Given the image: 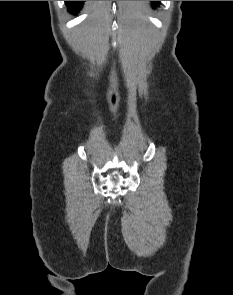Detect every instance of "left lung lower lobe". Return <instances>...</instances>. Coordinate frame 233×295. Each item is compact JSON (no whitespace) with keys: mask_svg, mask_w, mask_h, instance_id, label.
Returning <instances> with one entry per match:
<instances>
[{"mask_svg":"<svg viewBox=\"0 0 233 295\" xmlns=\"http://www.w3.org/2000/svg\"><path fill=\"white\" fill-rule=\"evenodd\" d=\"M154 5H156L158 3V1H152Z\"/></svg>","mask_w":233,"mask_h":295,"instance_id":"1","label":"left lung lower lobe"}]
</instances>
